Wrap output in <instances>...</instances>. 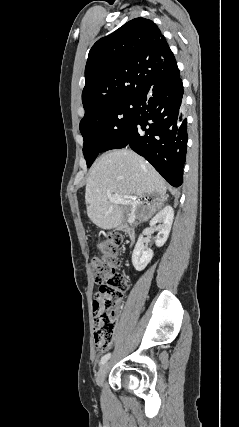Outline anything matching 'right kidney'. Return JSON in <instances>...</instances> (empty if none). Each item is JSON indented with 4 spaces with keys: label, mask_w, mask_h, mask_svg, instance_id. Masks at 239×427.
<instances>
[{
    "label": "right kidney",
    "mask_w": 239,
    "mask_h": 427,
    "mask_svg": "<svg viewBox=\"0 0 239 427\" xmlns=\"http://www.w3.org/2000/svg\"><path fill=\"white\" fill-rule=\"evenodd\" d=\"M174 219V211L171 206L164 207L159 211L150 221V227H156L158 225V234L155 240L157 247H161L165 244ZM153 251L144 246L143 236L140 235L135 245L132 254V264L137 271H142L150 263L153 258Z\"/></svg>",
    "instance_id": "obj_1"
}]
</instances>
